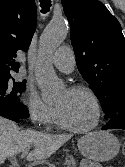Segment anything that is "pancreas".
Returning <instances> with one entry per match:
<instances>
[{
    "instance_id": "1",
    "label": "pancreas",
    "mask_w": 125,
    "mask_h": 167,
    "mask_svg": "<svg viewBox=\"0 0 125 167\" xmlns=\"http://www.w3.org/2000/svg\"><path fill=\"white\" fill-rule=\"evenodd\" d=\"M66 160L70 161L69 167H76L77 161L72 156H66Z\"/></svg>"
}]
</instances>
